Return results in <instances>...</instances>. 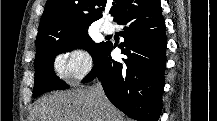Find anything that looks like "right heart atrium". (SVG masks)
I'll return each instance as SVG.
<instances>
[{"label": "right heart atrium", "instance_id": "obj_1", "mask_svg": "<svg viewBox=\"0 0 217 121\" xmlns=\"http://www.w3.org/2000/svg\"><path fill=\"white\" fill-rule=\"evenodd\" d=\"M92 67L89 54L80 49H74L58 56L54 63L57 74L62 79L82 78Z\"/></svg>", "mask_w": 217, "mask_h": 121}]
</instances>
